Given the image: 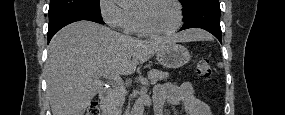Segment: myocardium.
Here are the masks:
<instances>
[{"instance_id": "myocardium-1", "label": "myocardium", "mask_w": 285, "mask_h": 115, "mask_svg": "<svg viewBox=\"0 0 285 115\" xmlns=\"http://www.w3.org/2000/svg\"><path fill=\"white\" fill-rule=\"evenodd\" d=\"M154 1H168L175 7L176 15H177L176 26L173 29L165 31V32L153 31L145 25L142 16L137 12V20H138L140 29L142 30L144 34L148 36H153V37H165V36H170V35L175 34L180 29L183 23V10H182V6L180 2L177 0H144L143 2L150 3Z\"/></svg>"}]
</instances>
